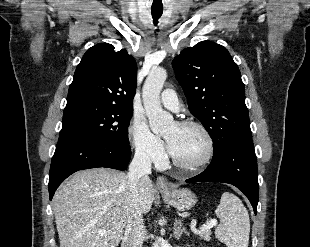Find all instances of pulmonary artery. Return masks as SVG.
Returning a JSON list of instances; mask_svg holds the SVG:
<instances>
[{"label": "pulmonary artery", "mask_w": 310, "mask_h": 247, "mask_svg": "<svg viewBox=\"0 0 310 247\" xmlns=\"http://www.w3.org/2000/svg\"><path fill=\"white\" fill-rule=\"evenodd\" d=\"M162 104L173 111H176L179 107V99L176 92L172 89H165L161 93Z\"/></svg>", "instance_id": "1"}]
</instances>
